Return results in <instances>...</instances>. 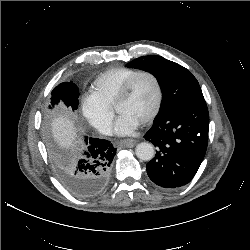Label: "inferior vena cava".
I'll use <instances>...</instances> for the list:
<instances>
[{
    "mask_svg": "<svg viewBox=\"0 0 250 250\" xmlns=\"http://www.w3.org/2000/svg\"><path fill=\"white\" fill-rule=\"evenodd\" d=\"M100 131L102 134H105V135H111L112 133L111 127L109 125L103 126Z\"/></svg>",
    "mask_w": 250,
    "mask_h": 250,
    "instance_id": "inferior-vena-cava-1",
    "label": "inferior vena cava"
}]
</instances>
